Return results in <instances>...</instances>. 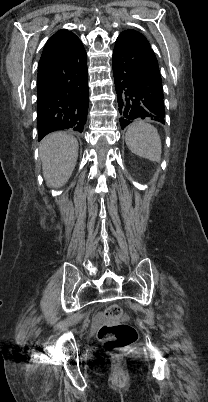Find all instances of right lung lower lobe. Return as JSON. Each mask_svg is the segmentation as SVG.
<instances>
[{
    "label": "right lung lower lobe",
    "instance_id": "1",
    "mask_svg": "<svg viewBox=\"0 0 208 402\" xmlns=\"http://www.w3.org/2000/svg\"><path fill=\"white\" fill-rule=\"evenodd\" d=\"M38 140L57 130L82 132L89 105L86 52L73 33L47 43L38 65Z\"/></svg>",
    "mask_w": 208,
    "mask_h": 402
}]
</instances>
